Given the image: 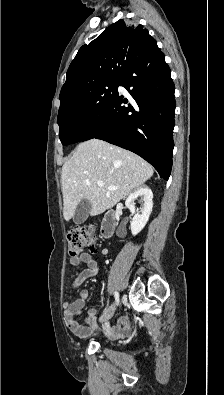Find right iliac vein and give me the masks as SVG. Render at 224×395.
Wrapping results in <instances>:
<instances>
[{"instance_id":"1","label":"right iliac vein","mask_w":224,"mask_h":395,"mask_svg":"<svg viewBox=\"0 0 224 395\" xmlns=\"http://www.w3.org/2000/svg\"><path fill=\"white\" fill-rule=\"evenodd\" d=\"M114 311H115V307L111 306V308L100 317L99 322L103 323L108 321L113 316Z\"/></svg>"}]
</instances>
